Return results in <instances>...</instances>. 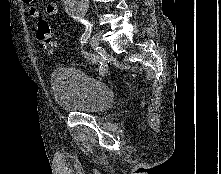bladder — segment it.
I'll use <instances>...</instances> for the list:
<instances>
[{"label": "bladder", "mask_w": 221, "mask_h": 174, "mask_svg": "<svg viewBox=\"0 0 221 174\" xmlns=\"http://www.w3.org/2000/svg\"><path fill=\"white\" fill-rule=\"evenodd\" d=\"M51 90L57 106L65 112L99 113L114 100V92L106 83L76 68L54 70Z\"/></svg>", "instance_id": "bladder-1"}]
</instances>
